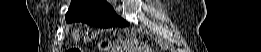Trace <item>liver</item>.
<instances>
[{
	"instance_id": "6515ba94",
	"label": "liver",
	"mask_w": 261,
	"mask_h": 52,
	"mask_svg": "<svg viewBox=\"0 0 261 52\" xmlns=\"http://www.w3.org/2000/svg\"><path fill=\"white\" fill-rule=\"evenodd\" d=\"M75 33H78V30L74 31V35H75ZM75 38L79 39V35L77 34V36H75Z\"/></svg>"
}]
</instances>
